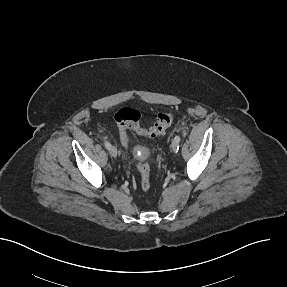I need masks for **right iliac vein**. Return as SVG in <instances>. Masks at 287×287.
Returning a JSON list of instances; mask_svg holds the SVG:
<instances>
[{"label": "right iliac vein", "mask_w": 287, "mask_h": 287, "mask_svg": "<svg viewBox=\"0 0 287 287\" xmlns=\"http://www.w3.org/2000/svg\"><path fill=\"white\" fill-rule=\"evenodd\" d=\"M108 150L111 157L115 158L117 156V149L114 146H110Z\"/></svg>", "instance_id": "1"}]
</instances>
